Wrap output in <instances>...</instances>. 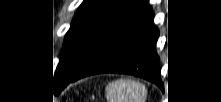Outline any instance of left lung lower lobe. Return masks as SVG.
I'll list each match as a JSON object with an SVG mask.
<instances>
[{"label": "left lung lower lobe", "mask_w": 221, "mask_h": 102, "mask_svg": "<svg viewBox=\"0 0 221 102\" xmlns=\"http://www.w3.org/2000/svg\"><path fill=\"white\" fill-rule=\"evenodd\" d=\"M154 13L140 0L124 21L107 37L90 59L68 81L99 73H124L144 78L163 87L159 57L155 44L159 30L153 23Z\"/></svg>", "instance_id": "0a47b994"}]
</instances>
